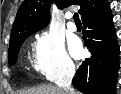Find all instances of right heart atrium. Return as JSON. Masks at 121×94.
<instances>
[{"instance_id":"d8ad5b80","label":"right heart atrium","mask_w":121,"mask_h":94,"mask_svg":"<svg viewBox=\"0 0 121 94\" xmlns=\"http://www.w3.org/2000/svg\"><path fill=\"white\" fill-rule=\"evenodd\" d=\"M33 60L35 69L47 79L69 78L75 72L62 37L53 31H45L37 38Z\"/></svg>"}]
</instances>
